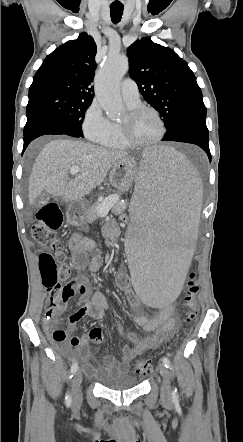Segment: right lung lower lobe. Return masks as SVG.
<instances>
[{"label": "right lung lower lobe", "instance_id": "right-lung-lower-lobe-1", "mask_svg": "<svg viewBox=\"0 0 243 442\" xmlns=\"http://www.w3.org/2000/svg\"><path fill=\"white\" fill-rule=\"evenodd\" d=\"M49 134H65L72 137H83V134H79L59 117L44 111H33L27 114V123L24 127L23 152L32 140L39 136Z\"/></svg>", "mask_w": 243, "mask_h": 442}]
</instances>
